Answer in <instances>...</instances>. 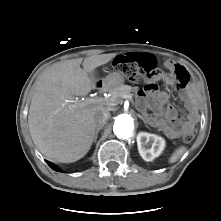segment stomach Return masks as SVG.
<instances>
[{
  "mask_svg": "<svg viewBox=\"0 0 221 221\" xmlns=\"http://www.w3.org/2000/svg\"><path fill=\"white\" fill-rule=\"evenodd\" d=\"M104 86L109 90V91H114L115 89L119 88L120 86L123 85L124 83V78L123 76L118 73V72H113L109 74L105 79H104Z\"/></svg>",
  "mask_w": 221,
  "mask_h": 221,
  "instance_id": "stomach-1",
  "label": "stomach"
}]
</instances>
